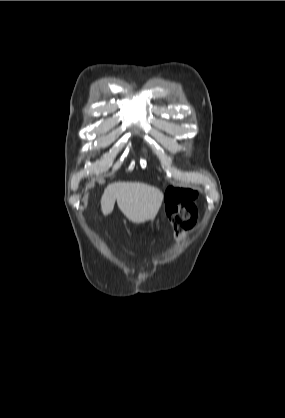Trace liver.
<instances>
[{
	"instance_id": "obj_1",
	"label": "liver",
	"mask_w": 285,
	"mask_h": 418,
	"mask_svg": "<svg viewBox=\"0 0 285 418\" xmlns=\"http://www.w3.org/2000/svg\"><path fill=\"white\" fill-rule=\"evenodd\" d=\"M117 201L120 211L133 223L153 220L163 201V193L139 182H117L108 185L101 197V210L109 215Z\"/></svg>"
}]
</instances>
